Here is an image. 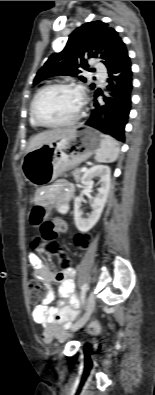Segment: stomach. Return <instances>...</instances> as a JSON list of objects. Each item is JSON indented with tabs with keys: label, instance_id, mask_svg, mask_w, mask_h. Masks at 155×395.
Instances as JSON below:
<instances>
[{
	"label": "stomach",
	"instance_id": "1",
	"mask_svg": "<svg viewBox=\"0 0 155 395\" xmlns=\"http://www.w3.org/2000/svg\"><path fill=\"white\" fill-rule=\"evenodd\" d=\"M101 139L100 133L83 125L63 130L51 142L26 153L23 175L34 186L48 184L96 153Z\"/></svg>",
	"mask_w": 155,
	"mask_h": 395
}]
</instances>
